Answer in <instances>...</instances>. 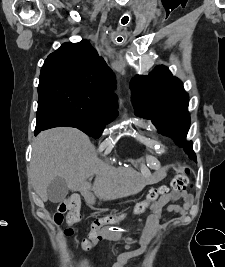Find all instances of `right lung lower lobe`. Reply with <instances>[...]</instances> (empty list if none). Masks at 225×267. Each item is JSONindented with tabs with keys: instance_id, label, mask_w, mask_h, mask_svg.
<instances>
[{
	"instance_id": "obj_1",
	"label": "right lung lower lobe",
	"mask_w": 225,
	"mask_h": 267,
	"mask_svg": "<svg viewBox=\"0 0 225 267\" xmlns=\"http://www.w3.org/2000/svg\"><path fill=\"white\" fill-rule=\"evenodd\" d=\"M75 127L74 123L47 102H38L35 135L53 127Z\"/></svg>"
}]
</instances>
